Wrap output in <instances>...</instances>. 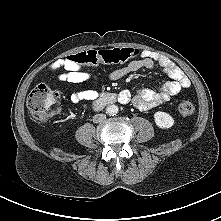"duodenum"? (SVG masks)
<instances>
[{
    "label": "duodenum",
    "mask_w": 221,
    "mask_h": 221,
    "mask_svg": "<svg viewBox=\"0 0 221 221\" xmlns=\"http://www.w3.org/2000/svg\"><path fill=\"white\" fill-rule=\"evenodd\" d=\"M126 99L118 96L115 93H105L99 99L94 102V109L100 110L107 105L114 104L116 102H124Z\"/></svg>",
    "instance_id": "obj_1"
}]
</instances>
